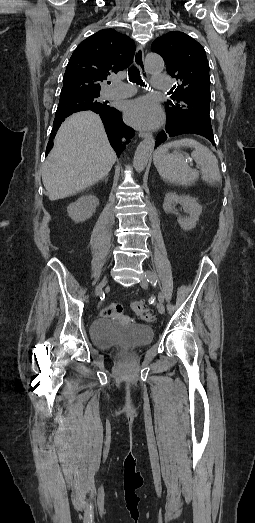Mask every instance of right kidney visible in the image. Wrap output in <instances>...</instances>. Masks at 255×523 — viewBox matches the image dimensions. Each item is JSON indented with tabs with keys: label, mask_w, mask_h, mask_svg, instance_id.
I'll return each mask as SVG.
<instances>
[{
	"label": "right kidney",
	"mask_w": 255,
	"mask_h": 523,
	"mask_svg": "<svg viewBox=\"0 0 255 523\" xmlns=\"http://www.w3.org/2000/svg\"><path fill=\"white\" fill-rule=\"evenodd\" d=\"M97 206H99L98 198L92 196V194H87V196H81V198H78L77 202L70 204L67 208V212L69 218H72L74 222H85V220L91 218Z\"/></svg>",
	"instance_id": "ca27d5eb"
}]
</instances>
